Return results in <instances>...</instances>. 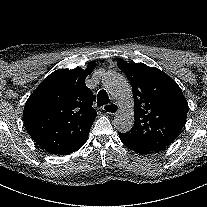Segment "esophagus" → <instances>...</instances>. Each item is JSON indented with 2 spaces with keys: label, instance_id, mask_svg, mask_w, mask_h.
<instances>
[{
  "label": "esophagus",
  "instance_id": "esophagus-1",
  "mask_svg": "<svg viewBox=\"0 0 207 207\" xmlns=\"http://www.w3.org/2000/svg\"><path fill=\"white\" fill-rule=\"evenodd\" d=\"M118 107L114 103H106L104 105V112L106 114L114 115L118 112Z\"/></svg>",
  "mask_w": 207,
  "mask_h": 207
}]
</instances>
